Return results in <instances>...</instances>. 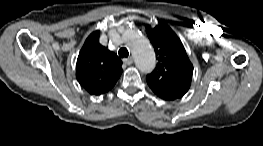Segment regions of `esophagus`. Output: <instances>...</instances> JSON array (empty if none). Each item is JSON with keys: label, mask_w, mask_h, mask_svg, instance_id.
Instances as JSON below:
<instances>
[{"label": "esophagus", "mask_w": 263, "mask_h": 146, "mask_svg": "<svg viewBox=\"0 0 263 146\" xmlns=\"http://www.w3.org/2000/svg\"><path fill=\"white\" fill-rule=\"evenodd\" d=\"M123 62H124L126 65H131V64L133 63V58H132V57H129V58L123 59Z\"/></svg>", "instance_id": "obj_1"}]
</instances>
